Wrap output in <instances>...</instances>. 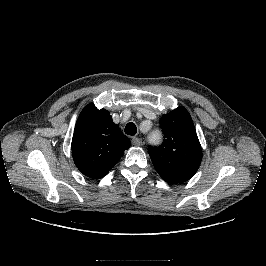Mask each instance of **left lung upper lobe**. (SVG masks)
Listing matches in <instances>:
<instances>
[{
  "mask_svg": "<svg viewBox=\"0 0 266 266\" xmlns=\"http://www.w3.org/2000/svg\"><path fill=\"white\" fill-rule=\"evenodd\" d=\"M160 127L164 142L148 147L153 165L166 182L183 183L197 172L202 160L192 118L184 107H178L161 117Z\"/></svg>",
  "mask_w": 266,
  "mask_h": 266,
  "instance_id": "left-lung-upper-lobe-1",
  "label": "left lung upper lobe"
}]
</instances>
